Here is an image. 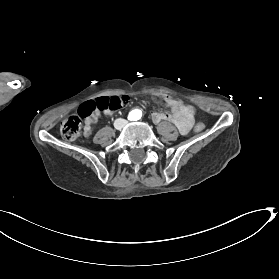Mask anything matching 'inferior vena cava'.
Listing matches in <instances>:
<instances>
[{
	"label": "inferior vena cava",
	"instance_id": "obj_1",
	"mask_svg": "<svg viewBox=\"0 0 279 279\" xmlns=\"http://www.w3.org/2000/svg\"><path fill=\"white\" fill-rule=\"evenodd\" d=\"M127 123L128 121L120 118L115 121L114 126L116 129L121 130V128L124 127V125Z\"/></svg>",
	"mask_w": 279,
	"mask_h": 279
}]
</instances>
